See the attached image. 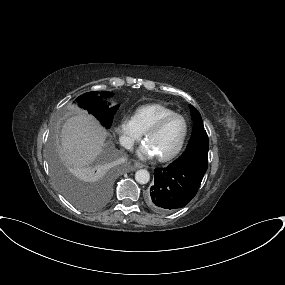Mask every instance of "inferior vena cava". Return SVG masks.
<instances>
[{
	"label": "inferior vena cava",
	"mask_w": 285,
	"mask_h": 285,
	"mask_svg": "<svg viewBox=\"0 0 285 285\" xmlns=\"http://www.w3.org/2000/svg\"><path fill=\"white\" fill-rule=\"evenodd\" d=\"M133 140L129 137H121L120 144L125 147L126 149H131L133 146Z\"/></svg>",
	"instance_id": "1"
}]
</instances>
